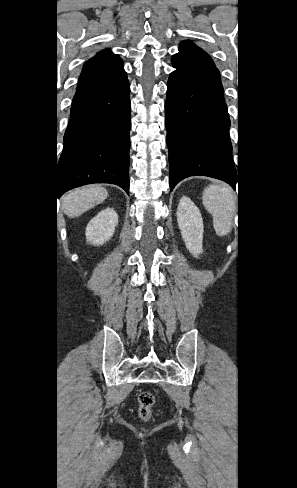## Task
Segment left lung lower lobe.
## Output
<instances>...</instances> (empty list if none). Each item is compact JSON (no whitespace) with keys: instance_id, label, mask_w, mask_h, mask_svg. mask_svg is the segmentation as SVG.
I'll list each match as a JSON object with an SVG mask.
<instances>
[{"instance_id":"obj_1","label":"left lung lower lobe","mask_w":297,"mask_h":488,"mask_svg":"<svg viewBox=\"0 0 297 488\" xmlns=\"http://www.w3.org/2000/svg\"><path fill=\"white\" fill-rule=\"evenodd\" d=\"M170 189L196 175L222 180L234 189L230 119L224 99L173 72L165 103Z\"/></svg>"}]
</instances>
